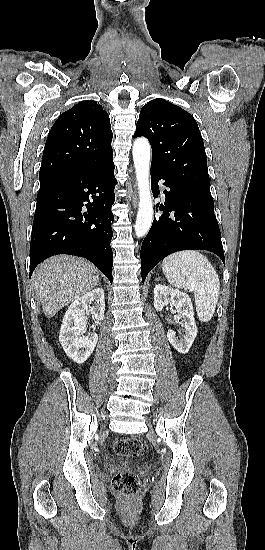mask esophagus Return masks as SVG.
I'll list each match as a JSON object with an SVG mask.
<instances>
[{"mask_svg": "<svg viewBox=\"0 0 265 550\" xmlns=\"http://www.w3.org/2000/svg\"><path fill=\"white\" fill-rule=\"evenodd\" d=\"M132 203H133V206L136 207V205H137V196L136 195H133Z\"/></svg>", "mask_w": 265, "mask_h": 550, "instance_id": "esophagus-1", "label": "esophagus"}]
</instances>
